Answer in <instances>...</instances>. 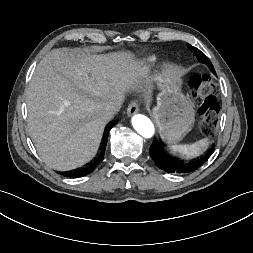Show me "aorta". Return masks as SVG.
Listing matches in <instances>:
<instances>
[{"mask_svg":"<svg viewBox=\"0 0 253 253\" xmlns=\"http://www.w3.org/2000/svg\"><path fill=\"white\" fill-rule=\"evenodd\" d=\"M132 125L134 129L144 138H152L155 134V127L152 121L142 115V114H136L132 117Z\"/></svg>","mask_w":253,"mask_h":253,"instance_id":"1","label":"aorta"}]
</instances>
